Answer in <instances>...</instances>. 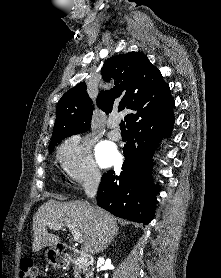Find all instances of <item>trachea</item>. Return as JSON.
<instances>
[{"label": "trachea", "instance_id": "1", "mask_svg": "<svg viewBox=\"0 0 221 278\" xmlns=\"http://www.w3.org/2000/svg\"><path fill=\"white\" fill-rule=\"evenodd\" d=\"M120 129H121L122 132L126 131V130H125V122H124V121H121V123H120Z\"/></svg>", "mask_w": 221, "mask_h": 278}]
</instances>
